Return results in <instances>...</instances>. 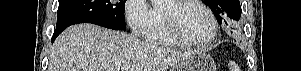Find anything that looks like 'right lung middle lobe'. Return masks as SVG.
<instances>
[{
    "label": "right lung middle lobe",
    "mask_w": 301,
    "mask_h": 71,
    "mask_svg": "<svg viewBox=\"0 0 301 71\" xmlns=\"http://www.w3.org/2000/svg\"><path fill=\"white\" fill-rule=\"evenodd\" d=\"M126 0H60L56 27L77 23L125 30L124 7Z\"/></svg>",
    "instance_id": "obj_1"
}]
</instances>
